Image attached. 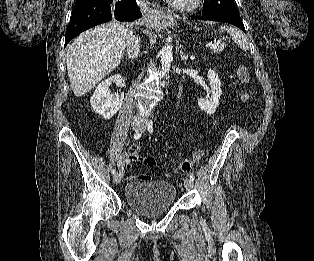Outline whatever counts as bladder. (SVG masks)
<instances>
[{
  "instance_id": "1",
  "label": "bladder",
  "mask_w": 314,
  "mask_h": 261,
  "mask_svg": "<svg viewBox=\"0 0 314 261\" xmlns=\"http://www.w3.org/2000/svg\"><path fill=\"white\" fill-rule=\"evenodd\" d=\"M176 194L175 186L167 181H137L126 185L124 200L138 214L153 218L173 207Z\"/></svg>"
}]
</instances>
